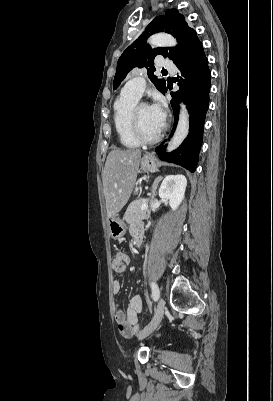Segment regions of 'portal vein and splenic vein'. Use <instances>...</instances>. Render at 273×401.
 Listing matches in <instances>:
<instances>
[{
  "label": "portal vein and splenic vein",
  "mask_w": 273,
  "mask_h": 401,
  "mask_svg": "<svg viewBox=\"0 0 273 401\" xmlns=\"http://www.w3.org/2000/svg\"><path fill=\"white\" fill-rule=\"evenodd\" d=\"M146 205H147V202H146V201H143V202H142V205L140 206V209H141V210H144L145 207H146Z\"/></svg>",
  "instance_id": "18ae733b"
}]
</instances>
